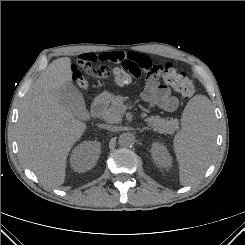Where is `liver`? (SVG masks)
Segmentation results:
<instances>
[{
  "label": "liver",
  "instance_id": "6515ba94",
  "mask_svg": "<svg viewBox=\"0 0 245 245\" xmlns=\"http://www.w3.org/2000/svg\"><path fill=\"white\" fill-rule=\"evenodd\" d=\"M71 59L53 61L24 97L17 124L21 161L41 184L59 187L65 181L66 160L86 124L58 103V92L72 84Z\"/></svg>",
  "mask_w": 245,
  "mask_h": 245
}]
</instances>
